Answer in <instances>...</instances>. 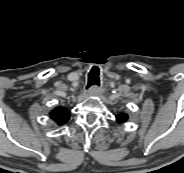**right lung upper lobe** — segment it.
Masks as SVG:
<instances>
[{"mask_svg":"<svg viewBox=\"0 0 184 173\" xmlns=\"http://www.w3.org/2000/svg\"><path fill=\"white\" fill-rule=\"evenodd\" d=\"M50 116L59 126H61L69 120L70 111L65 107H56L52 110Z\"/></svg>","mask_w":184,"mask_h":173,"instance_id":"1","label":"right lung upper lobe"}]
</instances>
